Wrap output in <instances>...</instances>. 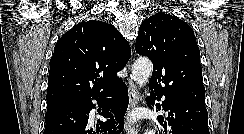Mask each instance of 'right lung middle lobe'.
<instances>
[{
    "mask_svg": "<svg viewBox=\"0 0 244 134\" xmlns=\"http://www.w3.org/2000/svg\"><path fill=\"white\" fill-rule=\"evenodd\" d=\"M70 100H72V99H70V98H60V99L47 101V109H49V108H51L53 106L61 105V104L66 103V102H68Z\"/></svg>",
    "mask_w": 244,
    "mask_h": 134,
    "instance_id": "obj_1",
    "label": "right lung middle lobe"
}]
</instances>
